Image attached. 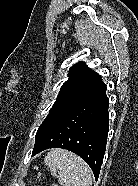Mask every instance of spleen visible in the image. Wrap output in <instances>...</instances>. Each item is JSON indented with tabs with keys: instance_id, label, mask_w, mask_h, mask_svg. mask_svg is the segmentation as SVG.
<instances>
[{
	"instance_id": "3e777b00",
	"label": "spleen",
	"mask_w": 138,
	"mask_h": 186,
	"mask_svg": "<svg viewBox=\"0 0 138 186\" xmlns=\"http://www.w3.org/2000/svg\"><path fill=\"white\" fill-rule=\"evenodd\" d=\"M51 175L62 186H92V176L86 162L69 151L53 149L44 158ZM58 171V174H57Z\"/></svg>"
}]
</instances>
